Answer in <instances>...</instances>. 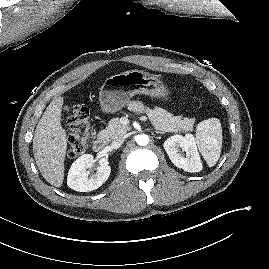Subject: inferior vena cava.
<instances>
[{
  "label": "inferior vena cava",
  "instance_id": "obj_1",
  "mask_svg": "<svg viewBox=\"0 0 269 269\" xmlns=\"http://www.w3.org/2000/svg\"><path fill=\"white\" fill-rule=\"evenodd\" d=\"M123 142H124V139L123 138H119V139L115 140L114 142H112L111 147L113 149H117V148H119L123 144Z\"/></svg>",
  "mask_w": 269,
  "mask_h": 269
}]
</instances>
